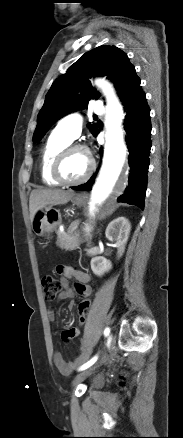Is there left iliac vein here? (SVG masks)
<instances>
[{
	"instance_id": "left-iliac-vein-1",
	"label": "left iliac vein",
	"mask_w": 183,
	"mask_h": 438,
	"mask_svg": "<svg viewBox=\"0 0 183 438\" xmlns=\"http://www.w3.org/2000/svg\"><path fill=\"white\" fill-rule=\"evenodd\" d=\"M115 345V340L112 339L110 342V347H113ZM109 353H105L101 359L92 367H90L89 369L79 373L75 379H74V384L80 382L81 380H83L84 378H86L87 376H89L92 372H94L100 365H102L104 362H106L109 358Z\"/></svg>"
}]
</instances>
